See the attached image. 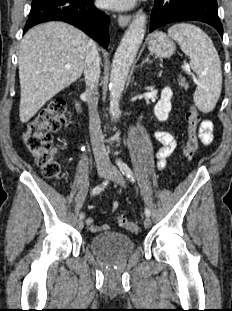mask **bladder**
I'll return each mask as SVG.
<instances>
[{
    "label": "bladder",
    "mask_w": 232,
    "mask_h": 311,
    "mask_svg": "<svg viewBox=\"0 0 232 311\" xmlns=\"http://www.w3.org/2000/svg\"><path fill=\"white\" fill-rule=\"evenodd\" d=\"M93 253L107 262H117L127 258L135 248L133 239L123 233L106 231L90 240Z\"/></svg>",
    "instance_id": "1"
}]
</instances>
